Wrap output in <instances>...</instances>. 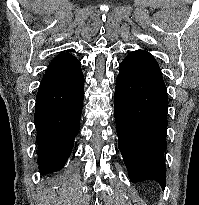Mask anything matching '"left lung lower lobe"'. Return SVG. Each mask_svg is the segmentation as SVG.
<instances>
[{"instance_id": "obj_1", "label": "left lung lower lobe", "mask_w": 199, "mask_h": 205, "mask_svg": "<svg viewBox=\"0 0 199 205\" xmlns=\"http://www.w3.org/2000/svg\"><path fill=\"white\" fill-rule=\"evenodd\" d=\"M168 97L160 67L147 51L120 63L114 95L118 147L132 183L155 180L166 186Z\"/></svg>"}]
</instances>
